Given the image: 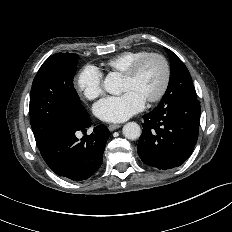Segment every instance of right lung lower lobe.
<instances>
[{
  "mask_svg": "<svg viewBox=\"0 0 232 232\" xmlns=\"http://www.w3.org/2000/svg\"><path fill=\"white\" fill-rule=\"evenodd\" d=\"M91 126L89 114L82 120H61L39 149L49 168L58 176L82 181L91 177L101 166L103 152L110 132L105 125L94 128L93 133L76 138V131L86 132Z\"/></svg>",
  "mask_w": 232,
  "mask_h": 232,
  "instance_id": "obj_1",
  "label": "right lung lower lobe"
}]
</instances>
